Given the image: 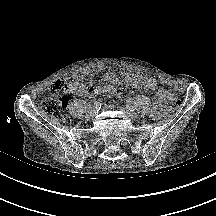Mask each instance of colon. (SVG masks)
Here are the masks:
<instances>
[{
    "label": "colon",
    "instance_id": "5ec220e1",
    "mask_svg": "<svg viewBox=\"0 0 216 216\" xmlns=\"http://www.w3.org/2000/svg\"><path fill=\"white\" fill-rule=\"evenodd\" d=\"M78 81L79 76L74 73L56 80L51 88V96L41 104L43 112L56 120H64L66 118L69 95L78 84ZM168 101L172 111L180 109L181 100L175 93L168 92Z\"/></svg>",
    "mask_w": 216,
    "mask_h": 216
}]
</instances>
